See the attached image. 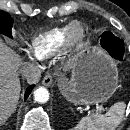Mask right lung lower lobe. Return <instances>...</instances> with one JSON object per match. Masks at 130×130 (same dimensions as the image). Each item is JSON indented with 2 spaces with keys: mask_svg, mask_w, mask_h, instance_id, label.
Masks as SVG:
<instances>
[{
  "mask_svg": "<svg viewBox=\"0 0 130 130\" xmlns=\"http://www.w3.org/2000/svg\"><path fill=\"white\" fill-rule=\"evenodd\" d=\"M34 88V85H30L26 92H25V100L27 99V97L29 96V94L31 93L32 89Z\"/></svg>",
  "mask_w": 130,
  "mask_h": 130,
  "instance_id": "1",
  "label": "right lung lower lobe"
}]
</instances>
